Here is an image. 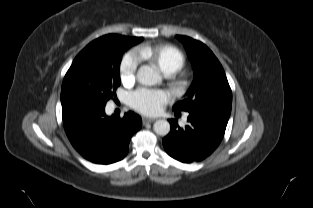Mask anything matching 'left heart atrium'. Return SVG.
<instances>
[{
    "label": "left heart atrium",
    "mask_w": 313,
    "mask_h": 208,
    "mask_svg": "<svg viewBox=\"0 0 313 208\" xmlns=\"http://www.w3.org/2000/svg\"><path fill=\"white\" fill-rule=\"evenodd\" d=\"M169 100L168 94L162 90L141 88L130 96L131 106L146 115H157Z\"/></svg>",
    "instance_id": "obj_1"
}]
</instances>
